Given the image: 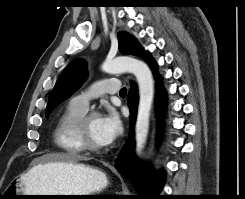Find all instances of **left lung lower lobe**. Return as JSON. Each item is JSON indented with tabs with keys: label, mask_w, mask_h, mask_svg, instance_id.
<instances>
[{
	"label": "left lung lower lobe",
	"mask_w": 245,
	"mask_h": 199,
	"mask_svg": "<svg viewBox=\"0 0 245 199\" xmlns=\"http://www.w3.org/2000/svg\"><path fill=\"white\" fill-rule=\"evenodd\" d=\"M144 60L150 65L154 72L156 82L159 79L156 73V64L150 55H146ZM157 108L161 110L165 103V96L163 95L162 88L157 85ZM137 90L136 86L132 84V87L128 96V106L130 109V137L127 143L122 148L118 155L117 161L115 163V168L117 171L131 180L136 188V191L141 196H151L158 193L163 186V173L159 172L157 175L151 176L146 173V170L140 167L139 163L135 160L133 155V128L135 124L136 114H137Z\"/></svg>",
	"instance_id": "0a47b994"
}]
</instances>
